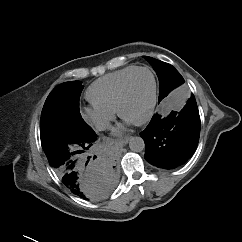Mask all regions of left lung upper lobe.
Masks as SVG:
<instances>
[{
    "instance_id": "1",
    "label": "left lung upper lobe",
    "mask_w": 242,
    "mask_h": 242,
    "mask_svg": "<svg viewBox=\"0 0 242 242\" xmlns=\"http://www.w3.org/2000/svg\"><path fill=\"white\" fill-rule=\"evenodd\" d=\"M145 58L153 66L157 73L160 82L159 102L165 98L173 89L184 83L183 77L180 73L170 64L163 61L154 59L152 57Z\"/></svg>"
}]
</instances>
